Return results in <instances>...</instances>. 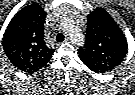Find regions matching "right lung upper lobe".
Listing matches in <instances>:
<instances>
[{"label": "right lung upper lobe", "mask_w": 135, "mask_h": 95, "mask_svg": "<svg viewBox=\"0 0 135 95\" xmlns=\"http://www.w3.org/2000/svg\"><path fill=\"white\" fill-rule=\"evenodd\" d=\"M44 11L37 6L22 8L10 21L3 49L19 70L33 73L45 67L54 50L44 42Z\"/></svg>", "instance_id": "cb5924a9"}]
</instances>
